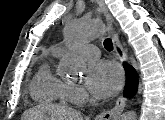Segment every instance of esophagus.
Wrapping results in <instances>:
<instances>
[{
    "label": "esophagus",
    "instance_id": "obj_1",
    "mask_svg": "<svg viewBox=\"0 0 165 120\" xmlns=\"http://www.w3.org/2000/svg\"><path fill=\"white\" fill-rule=\"evenodd\" d=\"M98 4L106 15V20H107L108 29H109V35L113 42L115 54L121 62H127L128 61L127 54L123 50V48L120 44L118 34L116 33V31L113 27L112 18L105 7L103 0H99ZM125 104H126V98L123 95H120L116 101L115 106L109 111H103L100 114H98L96 119L97 120H116L120 116L122 111L124 110Z\"/></svg>",
    "mask_w": 165,
    "mask_h": 120
}]
</instances>
